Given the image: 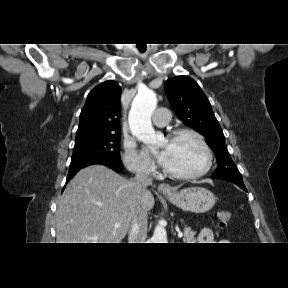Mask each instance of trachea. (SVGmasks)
<instances>
[{
	"label": "trachea",
	"instance_id": "3493384b",
	"mask_svg": "<svg viewBox=\"0 0 288 288\" xmlns=\"http://www.w3.org/2000/svg\"><path fill=\"white\" fill-rule=\"evenodd\" d=\"M139 49V51L141 52V53H143V52H145V48H143V49H141V48H138Z\"/></svg>",
	"mask_w": 288,
	"mask_h": 288
}]
</instances>
